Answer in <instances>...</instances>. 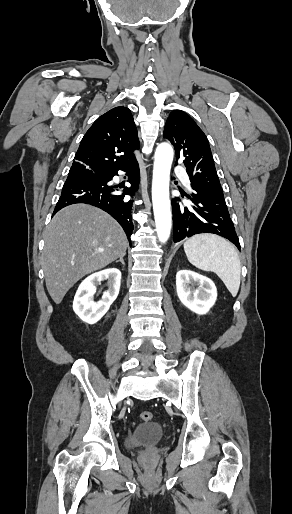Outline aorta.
I'll return each instance as SVG.
<instances>
[{
	"instance_id": "762f6f07",
	"label": "aorta",
	"mask_w": 292,
	"mask_h": 514,
	"mask_svg": "<svg viewBox=\"0 0 292 514\" xmlns=\"http://www.w3.org/2000/svg\"><path fill=\"white\" fill-rule=\"evenodd\" d=\"M173 156L170 144L164 142L157 146L153 168L152 202L157 236L163 244L167 242L171 232L169 182Z\"/></svg>"
}]
</instances>
